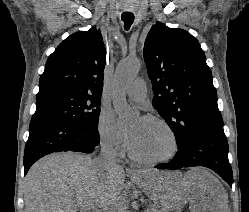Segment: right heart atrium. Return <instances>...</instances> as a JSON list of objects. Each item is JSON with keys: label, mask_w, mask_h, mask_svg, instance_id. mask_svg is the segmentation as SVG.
Wrapping results in <instances>:
<instances>
[{"label": "right heart atrium", "mask_w": 249, "mask_h": 212, "mask_svg": "<svg viewBox=\"0 0 249 212\" xmlns=\"http://www.w3.org/2000/svg\"><path fill=\"white\" fill-rule=\"evenodd\" d=\"M96 133L101 146L116 158L127 152L126 143L111 110L102 108L96 122Z\"/></svg>", "instance_id": "right-heart-atrium-1"}]
</instances>
